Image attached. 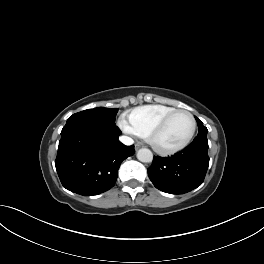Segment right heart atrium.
I'll return each mask as SVG.
<instances>
[{"mask_svg": "<svg viewBox=\"0 0 264 264\" xmlns=\"http://www.w3.org/2000/svg\"><path fill=\"white\" fill-rule=\"evenodd\" d=\"M120 128L128 134H135L133 128L131 127V125L127 122V120L125 118H120L119 122H118Z\"/></svg>", "mask_w": 264, "mask_h": 264, "instance_id": "1", "label": "right heart atrium"}]
</instances>
